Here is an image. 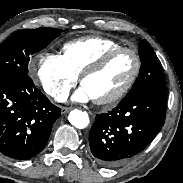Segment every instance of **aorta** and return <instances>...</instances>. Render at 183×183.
<instances>
[{"label": "aorta", "instance_id": "1", "mask_svg": "<svg viewBox=\"0 0 183 183\" xmlns=\"http://www.w3.org/2000/svg\"><path fill=\"white\" fill-rule=\"evenodd\" d=\"M69 122L78 129H84L89 124V116L86 112L75 109L68 116Z\"/></svg>", "mask_w": 183, "mask_h": 183}]
</instances>
